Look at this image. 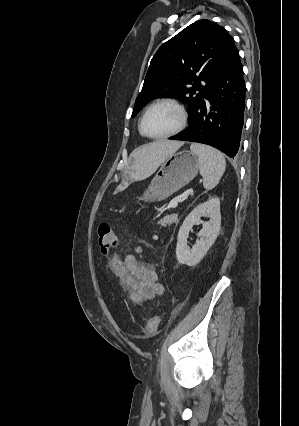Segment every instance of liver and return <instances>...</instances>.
<instances>
[{"instance_id": "liver-1", "label": "liver", "mask_w": 299, "mask_h": 426, "mask_svg": "<svg viewBox=\"0 0 299 426\" xmlns=\"http://www.w3.org/2000/svg\"><path fill=\"white\" fill-rule=\"evenodd\" d=\"M183 144L182 141L159 140L140 146L132 153L133 176L136 178L150 176Z\"/></svg>"}]
</instances>
